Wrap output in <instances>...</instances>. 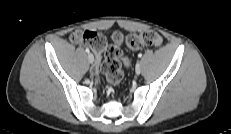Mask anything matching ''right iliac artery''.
Listing matches in <instances>:
<instances>
[{"instance_id": "obj_1", "label": "right iliac artery", "mask_w": 231, "mask_h": 134, "mask_svg": "<svg viewBox=\"0 0 231 134\" xmlns=\"http://www.w3.org/2000/svg\"><path fill=\"white\" fill-rule=\"evenodd\" d=\"M86 52H87V53H89V52H90V50H89L88 48H86Z\"/></svg>"}]
</instances>
